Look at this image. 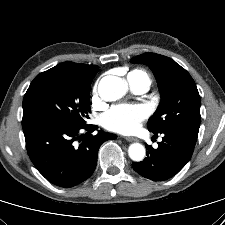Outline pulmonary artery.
<instances>
[{"label": "pulmonary artery", "mask_w": 225, "mask_h": 225, "mask_svg": "<svg viewBox=\"0 0 225 225\" xmlns=\"http://www.w3.org/2000/svg\"><path fill=\"white\" fill-rule=\"evenodd\" d=\"M130 88L133 92L141 94L149 89V83L145 80L128 78Z\"/></svg>", "instance_id": "1"}]
</instances>
